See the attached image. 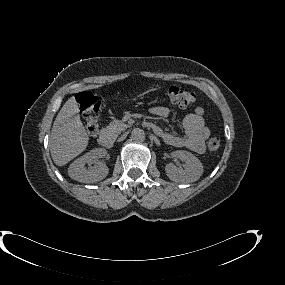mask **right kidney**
I'll return each instance as SVG.
<instances>
[{
  "label": "right kidney",
  "instance_id": "obj_1",
  "mask_svg": "<svg viewBox=\"0 0 285 285\" xmlns=\"http://www.w3.org/2000/svg\"><path fill=\"white\" fill-rule=\"evenodd\" d=\"M105 150L96 148L80 158L76 159L69 167V176L79 182L94 183L104 179L109 172L108 167L104 163H98L94 168H86L87 163H92L97 158L103 157Z\"/></svg>",
  "mask_w": 285,
  "mask_h": 285
}]
</instances>
